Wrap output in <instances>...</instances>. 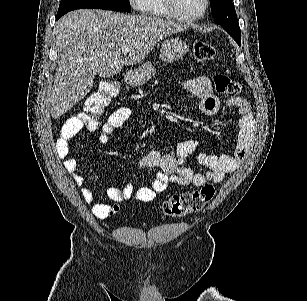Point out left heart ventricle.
Instances as JSON below:
<instances>
[{"mask_svg": "<svg viewBox=\"0 0 307 301\" xmlns=\"http://www.w3.org/2000/svg\"><path fill=\"white\" fill-rule=\"evenodd\" d=\"M202 0H175V13H197L200 11Z\"/></svg>", "mask_w": 307, "mask_h": 301, "instance_id": "b2bd125f", "label": "left heart ventricle"}]
</instances>
